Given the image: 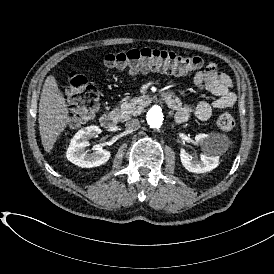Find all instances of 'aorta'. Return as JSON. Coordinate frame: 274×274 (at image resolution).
Instances as JSON below:
<instances>
[{
  "mask_svg": "<svg viewBox=\"0 0 274 274\" xmlns=\"http://www.w3.org/2000/svg\"><path fill=\"white\" fill-rule=\"evenodd\" d=\"M147 123L150 128L154 130H160L163 128L165 123V115L163 114V110L160 106L155 105L150 108L147 112Z\"/></svg>",
  "mask_w": 274,
  "mask_h": 274,
  "instance_id": "aorta-1",
  "label": "aorta"
}]
</instances>
